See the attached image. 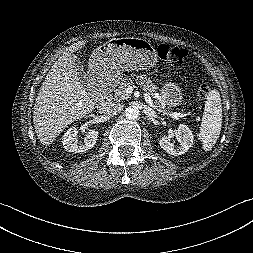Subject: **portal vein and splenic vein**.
Segmentation results:
<instances>
[{
  "instance_id": "obj_1",
  "label": "portal vein and splenic vein",
  "mask_w": 253,
  "mask_h": 253,
  "mask_svg": "<svg viewBox=\"0 0 253 253\" xmlns=\"http://www.w3.org/2000/svg\"><path fill=\"white\" fill-rule=\"evenodd\" d=\"M125 91L127 94H131L133 92V87L128 86ZM143 95H144V99L146 100V102L154 109H157L156 106L154 105L153 101L151 100L150 95L148 93H144ZM158 111H161V110H158ZM166 114H168L169 116H171L174 119L183 118L186 116V114H181V113H177V112H171V113H166Z\"/></svg>"
}]
</instances>
